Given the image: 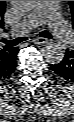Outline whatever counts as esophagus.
<instances>
[{
	"label": "esophagus",
	"mask_w": 74,
	"mask_h": 122,
	"mask_svg": "<svg viewBox=\"0 0 74 122\" xmlns=\"http://www.w3.org/2000/svg\"><path fill=\"white\" fill-rule=\"evenodd\" d=\"M34 43L39 44V45L46 44V43H48V40L43 37H37L36 39H34Z\"/></svg>",
	"instance_id": "obj_1"
}]
</instances>
